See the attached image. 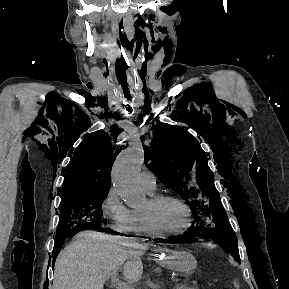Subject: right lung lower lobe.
Masks as SVG:
<instances>
[{
  "instance_id": "98d812e1",
  "label": "right lung lower lobe",
  "mask_w": 289,
  "mask_h": 289,
  "mask_svg": "<svg viewBox=\"0 0 289 289\" xmlns=\"http://www.w3.org/2000/svg\"><path fill=\"white\" fill-rule=\"evenodd\" d=\"M100 231L107 232V233L118 234L117 232H114L112 230H108V229H105V228H102ZM76 233H71V234H69L67 236H64V237H56V241H55V244H54V250H53V262H55L56 256L59 253L60 248H61L65 238L70 237V236H72V235H74Z\"/></svg>"
}]
</instances>
